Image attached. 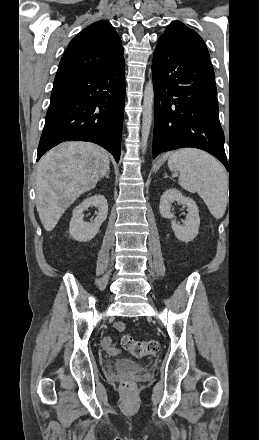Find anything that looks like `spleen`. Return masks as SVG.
I'll use <instances>...</instances> for the list:
<instances>
[{
  "instance_id": "spleen-1",
  "label": "spleen",
  "mask_w": 259,
  "mask_h": 440,
  "mask_svg": "<svg viewBox=\"0 0 259 440\" xmlns=\"http://www.w3.org/2000/svg\"><path fill=\"white\" fill-rule=\"evenodd\" d=\"M168 167L180 173L181 187L191 193L197 192L216 219L224 215L228 177L213 156L198 149H179L169 155Z\"/></svg>"
}]
</instances>
